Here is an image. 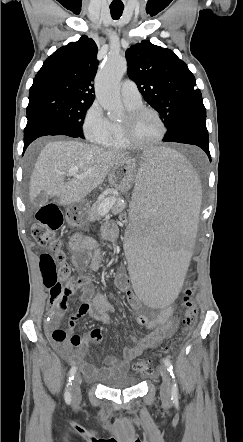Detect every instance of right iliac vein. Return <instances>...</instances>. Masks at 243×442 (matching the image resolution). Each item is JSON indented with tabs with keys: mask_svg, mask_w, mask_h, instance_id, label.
I'll list each match as a JSON object with an SVG mask.
<instances>
[{
	"mask_svg": "<svg viewBox=\"0 0 243 442\" xmlns=\"http://www.w3.org/2000/svg\"><path fill=\"white\" fill-rule=\"evenodd\" d=\"M81 382L82 377L80 374H76L75 378L72 382V388H71V394H72V401L74 405H78L81 402Z\"/></svg>",
	"mask_w": 243,
	"mask_h": 442,
	"instance_id": "1",
	"label": "right iliac vein"
}]
</instances>
